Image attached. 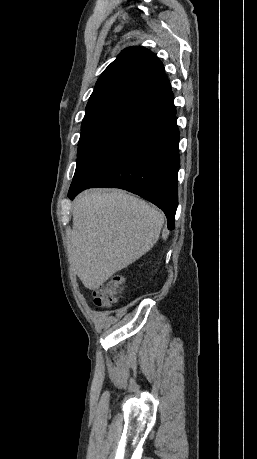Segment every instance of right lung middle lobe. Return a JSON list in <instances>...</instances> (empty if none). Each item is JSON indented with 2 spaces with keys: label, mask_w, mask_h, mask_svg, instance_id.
Here are the masks:
<instances>
[{
  "label": "right lung middle lobe",
  "mask_w": 257,
  "mask_h": 459,
  "mask_svg": "<svg viewBox=\"0 0 257 459\" xmlns=\"http://www.w3.org/2000/svg\"><path fill=\"white\" fill-rule=\"evenodd\" d=\"M135 113L126 108H108L85 114L81 125L75 174L108 145L121 125Z\"/></svg>",
  "instance_id": "1"
}]
</instances>
